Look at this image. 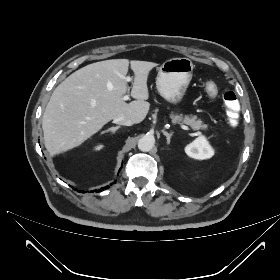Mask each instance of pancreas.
<instances>
[{"mask_svg":"<svg viewBox=\"0 0 280 280\" xmlns=\"http://www.w3.org/2000/svg\"><path fill=\"white\" fill-rule=\"evenodd\" d=\"M173 123H184L191 126L194 130H208V125L205 124L201 119H198L196 115H185L182 114H174L170 115Z\"/></svg>","mask_w":280,"mask_h":280,"instance_id":"1","label":"pancreas"}]
</instances>
